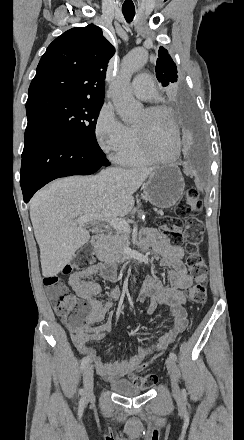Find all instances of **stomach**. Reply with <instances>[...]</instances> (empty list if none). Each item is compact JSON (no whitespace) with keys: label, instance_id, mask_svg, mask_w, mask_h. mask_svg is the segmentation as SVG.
<instances>
[{"label":"stomach","instance_id":"0dacf381","mask_svg":"<svg viewBox=\"0 0 244 440\" xmlns=\"http://www.w3.org/2000/svg\"><path fill=\"white\" fill-rule=\"evenodd\" d=\"M184 190L185 182L180 168L168 164L155 168L144 184L143 194L152 206L171 208L181 200Z\"/></svg>","mask_w":244,"mask_h":440}]
</instances>
